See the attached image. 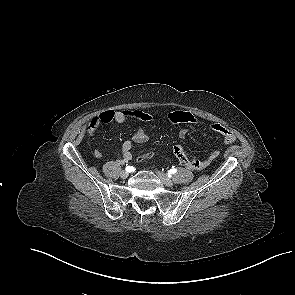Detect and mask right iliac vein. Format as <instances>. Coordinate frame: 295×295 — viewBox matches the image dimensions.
Segmentation results:
<instances>
[{
  "instance_id": "right-iliac-vein-1",
  "label": "right iliac vein",
  "mask_w": 295,
  "mask_h": 295,
  "mask_svg": "<svg viewBox=\"0 0 295 295\" xmlns=\"http://www.w3.org/2000/svg\"><path fill=\"white\" fill-rule=\"evenodd\" d=\"M120 176L122 179H126L129 176V174L127 171H122Z\"/></svg>"
}]
</instances>
